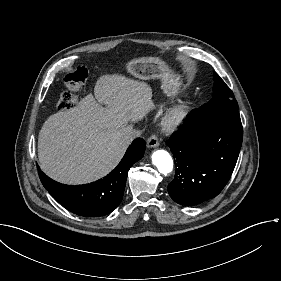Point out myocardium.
<instances>
[{
	"label": "myocardium",
	"instance_id": "obj_1",
	"mask_svg": "<svg viewBox=\"0 0 281 281\" xmlns=\"http://www.w3.org/2000/svg\"><path fill=\"white\" fill-rule=\"evenodd\" d=\"M187 107L179 104L171 108L163 117L162 128L167 133H172L177 130L187 118Z\"/></svg>",
	"mask_w": 281,
	"mask_h": 281
}]
</instances>
